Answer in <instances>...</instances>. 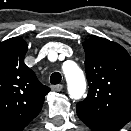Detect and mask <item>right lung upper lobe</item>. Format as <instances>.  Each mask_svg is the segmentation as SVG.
<instances>
[{
  "instance_id": "obj_1",
  "label": "right lung upper lobe",
  "mask_w": 131,
  "mask_h": 131,
  "mask_svg": "<svg viewBox=\"0 0 131 131\" xmlns=\"http://www.w3.org/2000/svg\"><path fill=\"white\" fill-rule=\"evenodd\" d=\"M22 38L0 42V131H22L41 111L50 88L24 63Z\"/></svg>"
}]
</instances>
